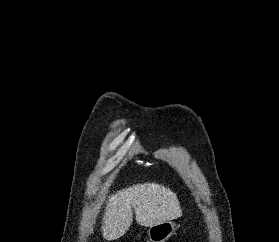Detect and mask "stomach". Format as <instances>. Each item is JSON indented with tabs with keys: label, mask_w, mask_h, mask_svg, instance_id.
<instances>
[{
	"label": "stomach",
	"mask_w": 279,
	"mask_h": 242,
	"mask_svg": "<svg viewBox=\"0 0 279 242\" xmlns=\"http://www.w3.org/2000/svg\"><path fill=\"white\" fill-rule=\"evenodd\" d=\"M176 231V224L172 221H164L155 224L148 229L149 242H165Z\"/></svg>",
	"instance_id": "obj_1"
}]
</instances>
